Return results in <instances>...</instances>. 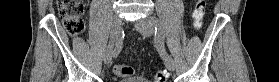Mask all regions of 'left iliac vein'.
Wrapping results in <instances>:
<instances>
[{"label": "left iliac vein", "mask_w": 279, "mask_h": 82, "mask_svg": "<svg viewBox=\"0 0 279 82\" xmlns=\"http://www.w3.org/2000/svg\"><path fill=\"white\" fill-rule=\"evenodd\" d=\"M135 28L145 37H150L154 32V26L148 19H140L135 23ZM165 66L169 71L175 70L174 61L171 58L165 59Z\"/></svg>", "instance_id": "4c4485c4"}]
</instances>
